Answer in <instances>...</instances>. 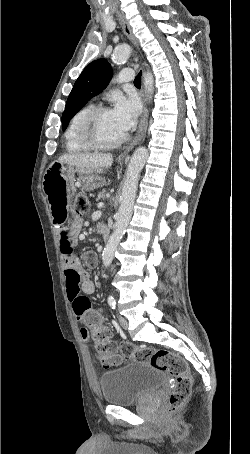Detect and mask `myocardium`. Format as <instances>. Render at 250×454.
<instances>
[{
	"label": "myocardium",
	"mask_w": 250,
	"mask_h": 454,
	"mask_svg": "<svg viewBox=\"0 0 250 454\" xmlns=\"http://www.w3.org/2000/svg\"><path fill=\"white\" fill-rule=\"evenodd\" d=\"M108 111L111 110L106 106L94 107L84 115L79 124L78 129L79 139L84 145L88 146L91 149L98 150L113 149L122 144L127 138V135L125 134L119 139L111 142H103L98 138L95 131L96 121L103 113Z\"/></svg>",
	"instance_id": "1"
}]
</instances>
